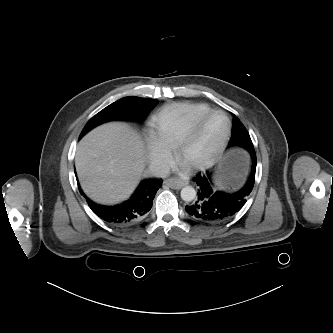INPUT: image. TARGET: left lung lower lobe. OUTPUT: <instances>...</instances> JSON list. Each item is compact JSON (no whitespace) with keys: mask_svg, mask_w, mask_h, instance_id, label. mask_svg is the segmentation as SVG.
Masks as SVG:
<instances>
[{"mask_svg":"<svg viewBox=\"0 0 333 333\" xmlns=\"http://www.w3.org/2000/svg\"><path fill=\"white\" fill-rule=\"evenodd\" d=\"M252 172L247 184L235 193H227L213 187V172L199 173L193 180L198 186L197 201L185 209L189 215L201 222H221L237 213L251 193L256 172V153H249Z\"/></svg>","mask_w":333,"mask_h":333,"instance_id":"left-lung-lower-lobe-1","label":"left lung lower lobe"}]
</instances>
